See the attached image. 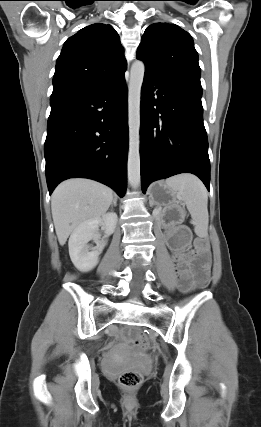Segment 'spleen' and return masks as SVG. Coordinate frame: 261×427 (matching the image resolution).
<instances>
[{
    "label": "spleen",
    "mask_w": 261,
    "mask_h": 427,
    "mask_svg": "<svg viewBox=\"0 0 261 427\" xmlns=\"http://www.w3.org/2000/svg\"><path fill=\"white\" fill-rule=\"evenodd\" d=\"M166 185L186 204L191 214L195 233L200 237L208 234V194L203 183L191 174H180L166 180Z\"/></svg>",
    "instance_id": "1"
}]
</instances>
